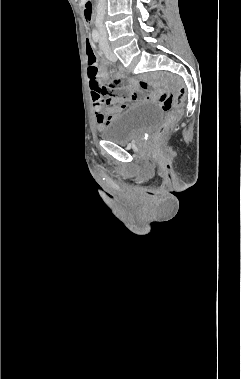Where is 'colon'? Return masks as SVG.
<instances>
[{
	"instance_id": "obj_1",
	"label": "colon",
	"mask_w": 241,
	"mask_h": 379,
	"mask_svg": "<svg viewBox=\"0 0 241 379\" xmlns=\"http://www.w3.org/2000/svg\"><path fill=\"white\" fill-rule=\"evenodd\" d=\"M86 57H87V67H88V84L91 89H95L100 95H109L112 93L110 88L105 86H101L98 81V67H97V57L94 52L93 45L87 40L86 41ZM185 90L182 88L178 92V94L174 97L167 93H161L156 96L157 104L164 110H170L174 107H180L185 100ZM179 112L172 111L168 114L164 123L161 125L159 130L157 131L156 139H160L163 137L172 125L178 120Z\"/></svg>"
}]
</instances>
